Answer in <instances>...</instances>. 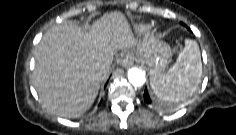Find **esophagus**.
<instances>
[{"label": "esophagus", "instance_id": "obj_1", "mask_svg": "<svg viewBox=\"0 0 236 135\" xmlns=\"http://www.w3.org/2000/svg\"><path fill=\"white\" fill-rule=\"evenodd\" d=\"M136 60L135 56L132 54L126 55V57L122 60L123 66L132 65L134 61Z\"/></svg>", "mask_w": 236, "mask_h": 135}]
</instances>
